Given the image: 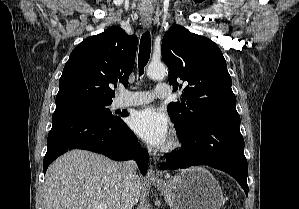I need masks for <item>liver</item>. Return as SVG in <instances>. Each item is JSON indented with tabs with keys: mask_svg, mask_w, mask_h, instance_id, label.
<instances>
[{
	"mask_svg": "<svg viewBox=\"0 0 299 209\" xmlns=\"http://www.w3.org/2000/svg\"><path fill=\"white\" fill-rule=\"evenodd\" d=\"M121 163L85 150H71L48 168L43 189L45 209H95V202L107 209H120L125 197L136 205L141 192L137 175L127 190Z\"/></svg>",
	"mask_w": 299,
	"mask_h": 209,
	"instance_id": "obj_1",
	"label": "liver"
}]
</instances>
